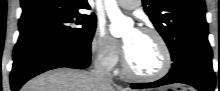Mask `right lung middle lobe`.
<instances>
[{"instance_id":"1","label":"right lung middle lobe","mask_w":220,"mask_h":91,"mask_svg":"<svg viewBox=\"0 0 220 91\" xmlns=\"http://www.w3.org/2000/svg\"><path fill=\"white\" fill-rule=\"evenodd\" d=\"M95 28V15L79 12L54 14L19 24L20 34H47L77 47L91 44Z\"/></svg>"}]
</instances>
